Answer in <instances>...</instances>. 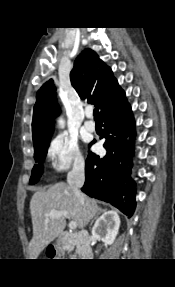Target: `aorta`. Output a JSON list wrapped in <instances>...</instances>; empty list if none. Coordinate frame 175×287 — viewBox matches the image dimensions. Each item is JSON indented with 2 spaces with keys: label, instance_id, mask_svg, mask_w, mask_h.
<instances>
[{
  "label": "aorta",
  "instance_id": "1",
  "mask_svg": "<svg viewBox=\"0 0 175 287\" xmlns=\"http://www.w3.org/2000/svg\"><path fill=\"white\" fill-rule=\"evenodd\" d=\"M63 123H64L63 120L60 119V120H59V124H60L61 126H63Z\"/></svg>",
  "mask_w": 175,
  "mask_h": 287
}]
</instances>
